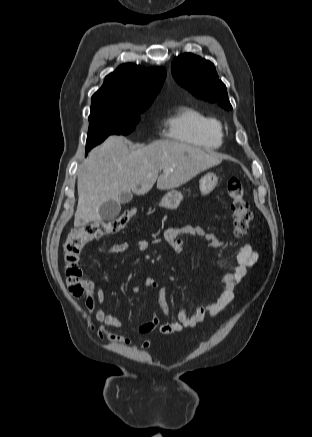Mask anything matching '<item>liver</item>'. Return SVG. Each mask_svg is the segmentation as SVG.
Returning a JSON list of instances; mask_svg holds the SVG:
<instances>
[{
    "label": "liver",
    "mask_w": 312,
    "mask_h": 437,
    "mask_svg": "<svg viewBox=\"0 0 312 437\" xmlns=\"http://www.w3.org/2000/svg\"><path fill=\"white\" fill-rule=\"evenodd\" d=\"M127 144L123 136H110L79 166L75 227L99 220L100 206L119 201L122 192L145 194L156 180L157 189H173L222 162L217 153L172 140L155 141L134 151Z\"/></svg>",
    "instance_id": "liver-1"
}]
</instances>
